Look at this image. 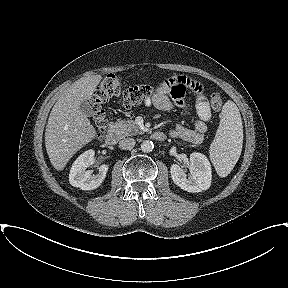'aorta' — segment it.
Wrapping results in <instances>:
<instances>
[{
	"label": "aorta",
	"mask_w": 288,
	"mask_h": 288,
	"mask_svg": "<svg viewBox=\"0 0 288 288\" xmlns=\"http://www.w3.org/2000/svg\"><path fill=\"white\" fill-rule=\"evenodd\" d=\"M153 148H154V144L150 140H145L141 143V150L143 152H146V153L151 152Z\"/></svg>",
	"instance_id": "aorta-1"
}]
</instances>
